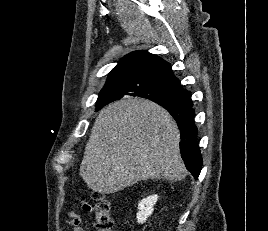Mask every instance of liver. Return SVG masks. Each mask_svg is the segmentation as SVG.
Masks as SVG:
<instances>
[{"label": "liver", "instance_id": "6515ba94", "mask_svg": "<svg viewBox=\"0 0 268 231\" xmlns=\"http://www.w3.org/2000/svg\"><path fill=\"white\" fill-rule=\"evenodd\" d=\"M180 133L160 105L127 97L103 108L92 127L80 176L100 194H111L141 180L185 178Z\"/></svg>", "mask_w": 268, "mask_h": 231}]
</instances>
